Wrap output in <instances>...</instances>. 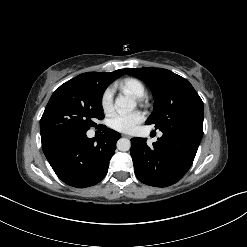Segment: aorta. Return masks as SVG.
<instances>
[{
    "label": "aorta",
    "instance_id": "1",
    "mask_svg": "<svg viewBox=\"0 0 247 247\" xmlns=\"http://www.w3.org/2000/svg\"><path fill=\"white\" fill-rule=\"evenodd\" d=\"M136 106V102L125 96L117 97L115 100V107L119 112L130 111ZM131 148V142L127 138H120L117 141V149L120 151H128Z\"/></svg>",
    "mask_w": 247,
    "mask_h": 247
}]
</instances>
